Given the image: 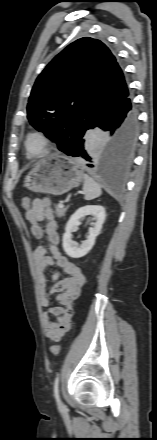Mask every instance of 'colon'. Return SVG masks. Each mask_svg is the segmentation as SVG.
<instances>
[{"label": "colon", "mask_w": 157, "mask_h": 440, "mask_svg": "<svg viewBox=\"0 0 157 440\" xmlns=\"http://www.w3.org/2000/svg\"><path fill=\"white\" fill-rule=\"evenodd\" d=\"M21 206L24 210L28 211L30 209V199L28 197H23L21 200ZM60 350L61 346L59 344H55L50 348V352L52 355H57Z\"/></svg>", "instance_id": "obj_1"}]
</instances>
